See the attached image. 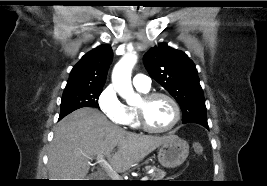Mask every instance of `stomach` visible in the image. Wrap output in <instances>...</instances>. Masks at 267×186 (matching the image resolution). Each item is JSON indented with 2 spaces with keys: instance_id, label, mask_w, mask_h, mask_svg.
<instances>
[{
  "instance_id": "0dacf381",
  "label": "stomach",
  "mask_w": 267,
  "mask_h": 186,
  "mask_svg": "<svg viewBox=\"0 0 267 186\" xmlns=\"http://www.w3.org/2000/svg\"><path fill=\"white\" fill-rule=\"evenodd\" d=\"M189 154V144L176 135H169V139L165 141L159 148L158 161L167 168H175L180 166Z\"/></svg>"
}]
</instances>
